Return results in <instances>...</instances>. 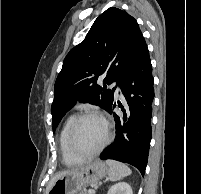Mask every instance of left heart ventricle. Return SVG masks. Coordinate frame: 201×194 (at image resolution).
<instances>
[{
	"label": "left heart ventricle",
	"instance_id": "b2bd125f",
	"mask_svg": "<svg viewBox=\"0 0 201 194\" xmlns=\"http://www.w3.org/2000/svg\"><path fill=\"white\" fill-rule=\"evenodd\" d=\"M106 137V127L99 118L84 119L77 130L76 144L83 152L96 150Z\"/></svg>",
	"mask_w": 201,
	"mask_h": 194
}]
</instances>
